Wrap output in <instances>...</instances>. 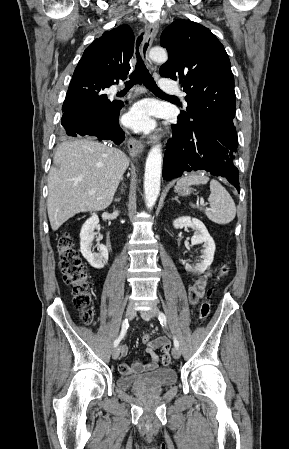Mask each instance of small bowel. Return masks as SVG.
<instances>
[{
	"label": "small bowel",
	"mask_w": 289,
	"mask_h": 449,
	"mask_svg": "<svg viewBox=\"0 0 289 449\" xmlns=\"http://www.w3.org/2000/svg\"><path fill=\"white\" fill-rule=\"evenodd\" d=\"M212 277V271L208 270L204 274L200 275L196 279L192 281L189 286L188 296L191 305L196 306L198 302L204 297L206 286ZM146 344V351L151 357V361L148 363L134 362L131 365L126 363H121L119 365V372L122 375H130L137 374L144 371H152L159 366L160 357L156 353V350L159 349L161 353V367L167 368L171 362L170 353L172 340L169 337L160 336L153 340L149 339L147 342H143ZM129 353V348L124 345L122 347V354L127 355Z\"/></svg>",
	"instance_id": "small-bowel-1"
}]
</instances>
